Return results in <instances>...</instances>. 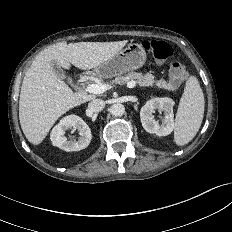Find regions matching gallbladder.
<instances>
[{
    "mask_svg": "<svg viewBox=\"0 0 232 232\" xmlns=\"http://www.w3.org/2000/svg\"><path fill=\"white\" fill-rule=\"evenodd\" d=\"M53 72L56 74L58 78L61 80H66L68 83H71V79L66 75L65 71L62 69L61 66L56 64L55 62L51 63Z\"/></svg>",
    "mask_w": 232,
    "mask_h": 232,
    "instance_id": "gallbladder-1",
    "label": "gallbladder"
}]
</instances>
